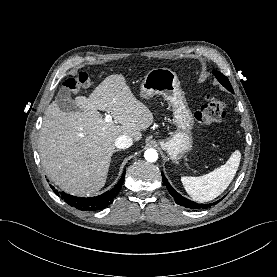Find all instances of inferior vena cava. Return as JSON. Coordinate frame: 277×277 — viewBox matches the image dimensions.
I'll return each mask as SVG.
<instances>
[{
    "label": "inferior vena cava",
    "mask_w": 277,
    "mask_h": 277,
    "mask_svg": "<svg viewBox=\"0 0 277 277\" xmlns=\"http://www.w3.org/2000/svg\"><path fill=\"white\" fill-rule=\"evenodd\" d=\"M133 143V140L128 135H121L115 141V146L120 149L129 148Z\"/></svg>",
    "instance_id": "602c4592"
}]
</instances>
